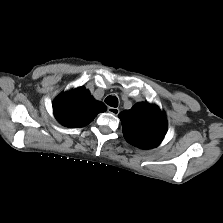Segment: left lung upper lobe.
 Wrapping results in <instances>:
<instances>
[{
    "label": "left lung upper lobe",
    "mask_w": 223,
    "mask_h": 223,
    "mask_svg": "<svg viewBox=\"0 0 223 223\" xmlns=\"http://www.w3.org/2000/svg\"><path fill=\"white\" fill-rule=\"evenodd\" d=\"M126 141L136 147L149 149L158 146L167 131L164 113L156 105L137 103L119 114Z\"/></svg>",
    "instance_id": "obj_1"
}]
</instances>
